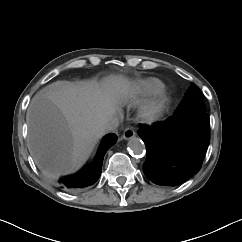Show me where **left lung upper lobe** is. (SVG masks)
<instances>
[{"instance_id":"5c2ea615","label":"left lung upper lobe","mask_w":242,"mask_h":242,"mask_svg":"<svg viewBox=\"0 0 242 242\" xmlns=\"http://www.w3.org/2000/svg\"><path fill=\"white\" fill-rule=\"evenodd\" d=\"M195 112H206V106L200 90L196 85L192 84L172 117L174 119H179L187 114Z\"/></svg>"}]
</instances>
